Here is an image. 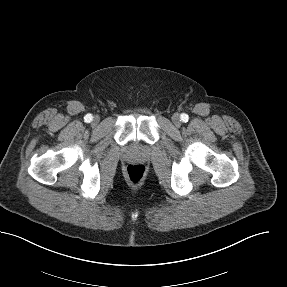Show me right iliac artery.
<instances>
[{"label": "right iliac artery", "instance_id": "right-iliac-artery-1", "mask_svg": "<svg viewBox=\"0 0 287 287\" xmlns=\"http://www.w3.org/2000/svg\"><path fill=\"white\" fill-rule=\"evenodd\" d=\"M85 122L90 123L93 120V116L91 114H87L84 117Z\"/></svg>", "mask_w": 287, "mask_h": 287}]
</instances>
